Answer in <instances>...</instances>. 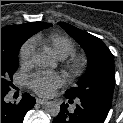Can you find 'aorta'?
<instances>
[{
	"instance_id": "762f6f07",
	"label": "aorta",
	"mask_w": 123,
	"mask_h": 123,
	"mask_svg": "<svg viewBox=\"0 0 123 123\" xmlns=\"http://www.w3.org/2000/svg\"><path fill=\"white\" fill-rule=\"evenodd\" d=\"M32 60L36 65L40 67H48L54 63L52 57L44 52L34 54ZM45 111L49 115L56 117L60 112V104L56 101H50L46 104Z\"/></svg>"
}]
</instances>
